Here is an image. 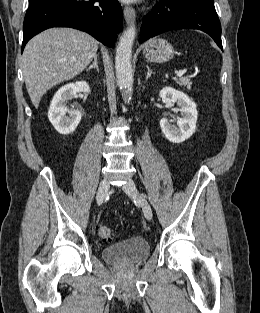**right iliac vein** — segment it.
Masks as SVG:
<instances>
[{"instance_id":"63e3f726","label":"right iliac vein","mask_w":260,"mask_h":313,"mask_svg":"<svg viewBox=\"0 0 260 313\" xmlns=\"http://www.w3.org/2000/svg\"><path fill=\"white\" fill-rule=\"evenodd\" d=\"M109 190V182L107 179H104L98 187L97 195H96V202L98 205H101L107 195Z\"/></svg>"}]
</instances>
